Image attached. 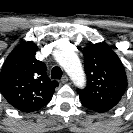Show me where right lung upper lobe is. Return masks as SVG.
<instances>
[{"mask_svg": "<svg viewBox=\"0 0 133 133\" xmlns=\"http://www.w3.org/2000/svg\"><path fill=\"white\" fill-rule=\"evenodd\" d=\"M37 46L22 42L9 54L0 74V90L4 98L22 112L36 111L52 98L57 81H51L46 65L35 58Z\"/></svg>", "mask_w": 133, "mask_h": 133, "instance_id": "1", "label": "right lung upper lobe"}]
</instances>
